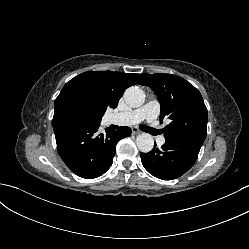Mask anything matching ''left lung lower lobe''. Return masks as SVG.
<instances>
[{
	"mask_svg": "<svg viewBox=\"0 0 249 249\" xmlns=\"http://www.w3.org/2000/svg\"><path fill=\"white\" fill-rule=\"evenodd\" d=\"M200 148L201 145L190 141H165L161 149L154 147L148 153H141L140 157L144 168L151 175L162 180H172L193 166Z\"/></svg>",
	"mask_w": 249,
	"mask_h": 249,
	"instance_id": "obj_1",
	"label": "left lung lower lobe"
}]
</instances>
